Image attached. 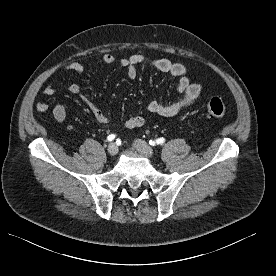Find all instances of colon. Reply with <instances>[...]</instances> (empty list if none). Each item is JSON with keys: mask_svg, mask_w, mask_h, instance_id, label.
<instances>
[{"mask_svg": "<svg viewBox=\"0 0 276 276\" xmlns=\"http://www.w3.org/2000/svg\"><path fill=\"white\" fill-rule=\"evenodd\" d=\"M207 112L214 118H224L226 116V105L220 97H213L207 103Z\"/></svg>", "mask_w": 276, "mask_h": 276, "instance_id": "1", "label": "colon"}]
</instances>
